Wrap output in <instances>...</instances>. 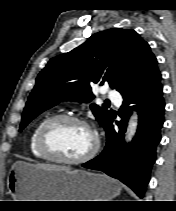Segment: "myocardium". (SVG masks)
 Wrapping results in <instances>:
<instances>
[{"mask_svg": "<svg viewBox=\"0 0 176 211\" xmlns=\"http://www.w3.org/2000/svg\"><path fill=\"white\" fill-rule=\"evenodd\" d=\"M64 122H71V123L81 125V126L85 127L86 129H88L90 131V133L92 134L93 145L90 148V150L83 156H80L78 158H65V157L61 156L60 154H58L51 147V145L48 141V134H49L50 130L54 126L64 123ZM37 146H38L39 151L51 160H55V161L65 163V164L76 165V164H81V163H84V162L90 160L97 154V152L100 148V138H99L97 131L86 120H84L78 116H75V115L58 114V115L48 118L41 125V127L38 131V135H37Z\"/></svg>", "mask_w": 176, "mask_h": 211, "instance_id": "f54148a6", "label": "myocardium"}]
</instances>
